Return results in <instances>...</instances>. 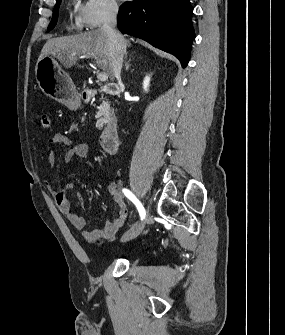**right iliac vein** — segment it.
Listing matches in <instances>:
<instances>
[{
  "mask_svg": "<svg viewBox=\"0 0 285 335\" xmlns=\"http://www.w3.org/2000/svg\"><path fill=\"white\" fill-rule=\"evenodd\" d=\"M144 223H145V219L140 223H136L127 233H125L122 236L121 240L129 241V240L136 238L142 232Z\"/></svg>",
  "mask_w": 285,
  "mask_h": 335,
  "instance_id": "63e3f726",
  "label": "right iliac vein"
}]
</instances>
